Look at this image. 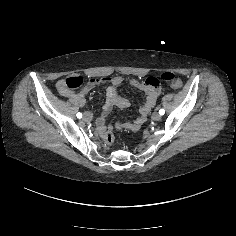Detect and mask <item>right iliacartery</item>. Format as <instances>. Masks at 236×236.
Returning <instances> with one entry per match:
<instances>
[{
	"label": "right iliac artery",
	"mask_w": 236,
	"mask_h": 236,
	"mask_svg": "<svg viewBox=\"0 0 236 236\" xmlns=\"http://www.w3.org/2000/svg\"><path fill=\"white\" fill-rule=\"evenodd\" d=\"M76 116H77V118H82V113H80V112H78L77 114H76Z\"/></svg>",
	"instance_id": "right-iliac-artery-1"
}]
</instances>
